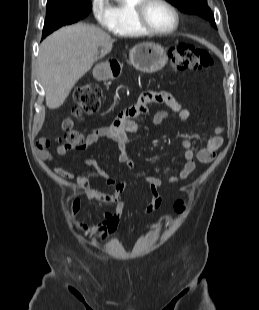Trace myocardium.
<instances>
[{"label": "myocardium", "instance_id": "obj_1", "mask_svg": "<svg viewBox=\"0 0 259 310\" xmlns=\"http://www.w3.org/2000/svg\"><path fill=\"white\" fill-rule=\"evenodd\" d=\"M152 2H159L169 8L174 17H175V24L171 29L168 30H157L153 28L146 19V10L150 3ZM134 18L136 24L139 28L147 34L154 35V36H167L174 32H176L180 26V14L178 9L170 3L168 0H139V2L134 7Z\"/></svg>", "mask_w": 259, "mask_h": 310}]
</instances>
